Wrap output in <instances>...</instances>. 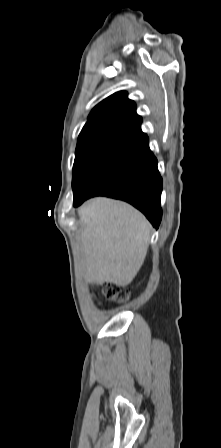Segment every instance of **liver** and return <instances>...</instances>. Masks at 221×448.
Masks as SVG:
<instances>
[{
    "mask_svg": "<svg viewBox=\"0 0 221 448\" xmlns=\"http://www.w3.org/2000/svg\"><path fill=\"white\" fill-rule=\"evenodd\" d=\"M84 229L79 236L87 281L131 283L144 263L150 224L131 205L105 197L86 202L78 211Z\"/></svg>",
    "mask_w": 221,
    "mask_h": 448,
    "instance_id": "liver-1",
    "label": "liver"
}]
</instances>
